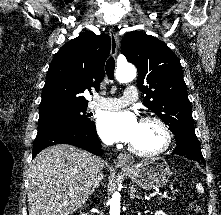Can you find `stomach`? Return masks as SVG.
Returning <instances> with one entry per match:
<instances>
[{"instance_id": "obj_1", "label": "stomach", "mask_w": 221, "mask_h": 215, "mask_svg": "<svg viewBox=\"0 0 221 215\" xmlns=\"http://www.w3.org/2000/svg\"><path fill=\"white\" fill-rule=\"evenodd\" d=\"M124 171L134 183L144 189L163 187L170 175L168 163L162 158H151L139 164L124 168Z\"/></svg>"}]
</instances>
